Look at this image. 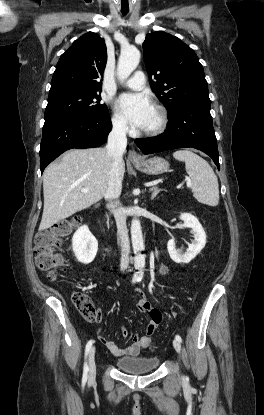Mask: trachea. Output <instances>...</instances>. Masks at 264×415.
<instances>
[{"label": "trachea", "instance_id": "1", "mask_svg": "<svg viewBox=\"0 0 264 415\" xmlns=\"http://www.w3.org/2000/svg\"><path fill=\"white\" fill-rule=\"evenodd\" d=\"M122 14L125 16L127 14V12H122Z\"/></svg>", "mask_w": 264, "mask_h": 415}]
</instances>
